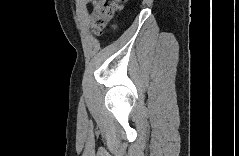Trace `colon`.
Segmentation results:
<instances>
[{
    "instance_id": "obj_1",
    "label": "colon",
    "mask_w": 239,
    "mask_h": 156,
    "mask_svg": "<svg viewBox=\"0 0 239 156\" xmlns=\"http://www.w3.org/2000/svg\"><path fill=\"white\" fill-rule=\"evenodd\" d=\"M121 8L117 0H98L93 9V25L97 33L108 27H113L112 21L116 11Z\"/></svg>"
}]
</instances>
